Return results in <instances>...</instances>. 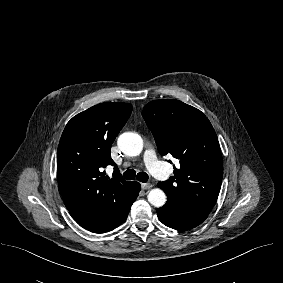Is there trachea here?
<instances>
[{
	"instance_id": "obj_1",
	"label": "trachea",
	"mask_w": 283,
	"mask_h": 283,
	"mask_svg": "<svg viewBox=\"0 0 283 283\" xmlns=\"http://www.w3.org/2000/svg\"><path fill=\"white\" fill-rule=\"evenodd\" d=\"M123 176L126 180H134L136 178L140 182H144V183L147 182L148 179H149V176H148L147 173L139 172V173L136 174V171L133 170V169L126 170L124 172Z\"/></svg>"
}]
</instances>
